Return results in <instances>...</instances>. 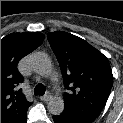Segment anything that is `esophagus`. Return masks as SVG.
<instances>
[{"instance_id":"34e87169","label":"esophagus","mask_w":123,"mask_h":123,"mask_svg":"<svg viewBox=\"0 0 123 123\" xmlns=\"http://www.w3.org/2000/svg\"><path fill=\"white\" fill-rule=\"evenodd\" d=\"M51 97H52L51 94L47 92L45 95L41 96L40 99L46 102V101H49Z\"/></svg>"}]
</instances>
